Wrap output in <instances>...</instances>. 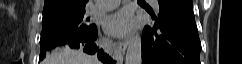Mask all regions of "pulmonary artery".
I'll list each match as a JSON object with an SVG mask.
<instances>
[{"label": "pulmonary artery", "instance_id": "1", "mask_svg": "<svg viewBox=\"0 0 242 64\" xmlns=\"http://www.w3.org/2000/svg\"><path fill=\"white\" fill-rule=\"evenodd\" d=\"M151 3L155 8H158L157 0H151ZM119 4L120 0H99L96 5L101 10H111L116 8Z\"/></svg>", "mask_w": 242, "mask_h": 64}]
</instances>
